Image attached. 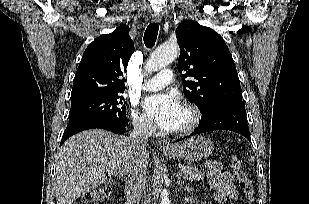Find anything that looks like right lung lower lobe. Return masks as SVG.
I'll list each match as a JSON object with an SVG mask.
<instances>
[{
  "instance_id": "1",
  "label": "right lung lower lobe",
  "mask_w": 309,
  "mask_h": 204,
  "mask_svg": "<svg viewBox=\"0 0 309 204\" xmlns=\"http://www.w3.org/2000/svg\"><path fill=\"white\" fill-rule=\"evenodd\" d=\"M93 128L106 129L117 134H123L126 131V125L117 124L102 118H84L68 124L61 140V144L65 142V140H67L70 136L83 130Z\"/></svg>"
}]
</instances>
